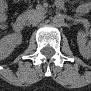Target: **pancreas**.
Segmentation results:
<instances>
[{"instance_id": "cf45deb5", "label": "pancreas", "mask_w": 91, "mask_h": 91, "mask_svg": "<svg viewBox=\"0 0 91 91\" xmlns=\"http://www.w3.org/2000/svg\"><path fill=\"white\" fill-rule=\"evenodd\" d=\"M40 10H27L21 16L27 20V22H31L35 17L40 16Z\"/></svg>"}]
</instances>
